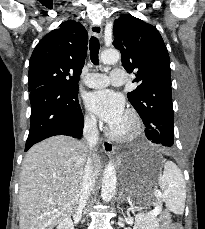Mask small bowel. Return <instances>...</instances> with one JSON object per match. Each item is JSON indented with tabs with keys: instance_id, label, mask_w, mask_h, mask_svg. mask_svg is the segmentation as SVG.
<instances>
[{
	"instance_id": "small-bowel-1",
	"label": "small bowel",
	"mask_w": 205,
	"mask_h": 229,
	"mask_svg": "<svg viewBox=\"0 0 205 229\" xmlns=\"http://www.w3.org/2000/svg\"><path fill=\"white\" fill-rule=\"evenodd\" d=\"M168 229H180V227L175 224V225L170 226Z\"/></svg>"
}]
</instances>
